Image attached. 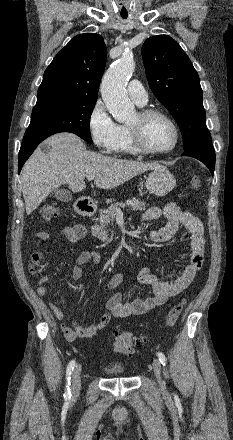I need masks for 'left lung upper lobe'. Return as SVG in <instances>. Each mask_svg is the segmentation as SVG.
<instances>
[{"label":"left lung upper lobe","instance_id":"1","mask_svg":"<svg viewBox=\"0 0 233 440\" xmlns=\"http://www.w3.org/2000/svg\"><path fill=\"white\" fill-rule=\"evenodd\" d=\"M141 53L151 90L179 125L184 150L212 143L200 79L180 45L157 35L144 42Z\"/></svg>","mask_w":233,"mask_h":440}]
</instances>
